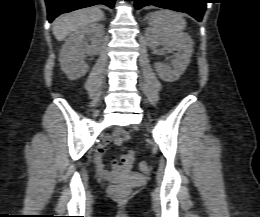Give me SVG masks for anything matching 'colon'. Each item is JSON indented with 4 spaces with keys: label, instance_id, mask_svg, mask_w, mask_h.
<instances>
[{
    "label": "colon",
    "instance_id": "1",
    "mask_svg": "<svg viewBox=\"0 0 260 217\" xmlns=\"http://www.w3.org/2000/svg\"><path fill=\"white\" fill-rule=\"evenodd\" d=\"M139 169L143 172L149 170V164L145 161L139 163ZM110 193L119 198H124L127 195L126 187L123 185H113L110 188Z\"/></svg>",
    "mask_w": 260,
    "mask_h": 217
}]
</instances>
